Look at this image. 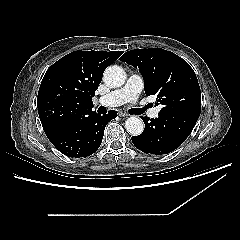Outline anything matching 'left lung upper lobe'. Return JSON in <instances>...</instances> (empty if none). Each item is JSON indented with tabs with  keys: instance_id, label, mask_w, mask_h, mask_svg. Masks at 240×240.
Masks as SVG:
<instances>
[{
	"instance_id": "left-lung-upper-lobe-1",
	"label": "left lung upper lobe",
	"mask_w": 240,
	"mask_h": 240,
	"mask_svg": "<svg viewBox=\"0 0 240 240\" xmlns=\"http://www.w3.org/2000/svg\"><path fill=\"white\" fill-rule=\"evenodd\" d=\"M122 61L138 68L144 79L147 96L156 95L160 114L201 111V92L190 65L176 54L161 49H135L126 52Z\"/></svg>"
}]
</instances>
